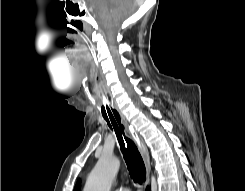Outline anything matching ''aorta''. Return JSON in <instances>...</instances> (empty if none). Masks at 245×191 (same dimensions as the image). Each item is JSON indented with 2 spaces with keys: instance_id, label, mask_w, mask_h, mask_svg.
Masks as SVG:
<instances>
[{
  "instance_id": "762f6f07",
  "label": "aorta",
  "mask_w": 245,
  "mask_h": 191,
  "mask_svg": "<svg viewBox=\"0 0 245 191\" xmlns=\"http://www.w3.org/2000/svg\"><path fill=\"white\" fill-rule=\"evenodd\" d=\"M120 167L114 156H103L88 176L83 191H110L112 181Z\"/></svg>"
}]
</instances>
